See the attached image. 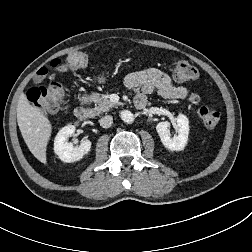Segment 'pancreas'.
<instances>
[{
	"label": "pancreas",
	"mask_w": 252,
	"mask_h": 252,
	"mask_svg": "<svg viewBox=\"0 0 252 252\" xmlns=\"http://www.w3.org/2000/svg\"><path fill=\"white\" fill-rule=\"evenodd\" d=\"M95 102H96V105L93 111L94 115L105 113L117 105L116 103L112 102L108 98L99 96L98 94H96Z\"/></svg>",
	"instance_id": "obj_1"
}]
</instances>
